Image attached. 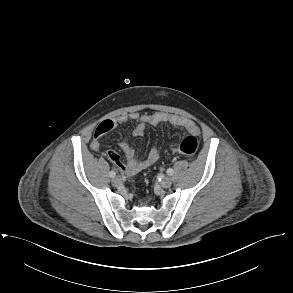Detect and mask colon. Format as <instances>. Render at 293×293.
<instances>
[{
    "label": "colon",
    "instance_id": "colon-1",
    "mask_svg": "<svg viewBox=\"0 0 293 293\" xmlns=\"http://www.w3.org/2000/svg\"><path fill=\"white\" fill-rule=\"evenodd\" d=\"M173 152L184 155L193 156L199 147L198 138L194 135H189L181 140L173 141L170 145Z\"/></svg>",
    "mask_w": 293,
    "mask_h": 293
}]
</instances>
